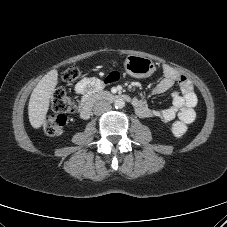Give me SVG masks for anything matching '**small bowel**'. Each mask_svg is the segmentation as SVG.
Returning a JSON list of instances; mask_svg holds the SVG:
<instances>
[{"instance_id": "small-bowel-1", "label": "small bowel", "mask_w": 227, "mask_h": 227, "mask_svg": "<svg viewBox=\"0 0 227 227\" xmlns=\"http://www.w3.org/2000/svg\"><path fill=\"white\" fill-rule=\"evenodd\" d=\"M163 78L152 88V94H162L168 91L175 83L179 91L172 96V104L163 110L151 109L145 100L136 98L133 102L136 114L141 118H158L163 122H172L171 132L174 137L180 138L185 133L187 126L195 119L194 107L197 105V96L191 81L184 75L175 72L170 66L163 68ZM118 79L117 73H112L106 82ZM103 86V82L90 77L82 79L75 87V92L83 100Z\"/></svg>"}]
</instances>
